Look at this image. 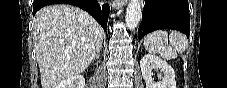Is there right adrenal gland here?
I'll return each instance as SVG.
<instances>
[{"label":"right adrenal gland","mask_w":227,"mask_h":88,"mask_svg":"<svg viewBox=\"0 0 227 88\" xmlns=\"http://www.w3.org/2000/svg\"><path fill=\"white\" fill-rule=\"evenodd\" d=\"M100 50H101V49H99V50L97 51V53L95 54V56H94L93 59H92V62H94L95 59H99Z\"/></svg>","instance_id":"right-adrenal-gland-1"}]
</instances>
